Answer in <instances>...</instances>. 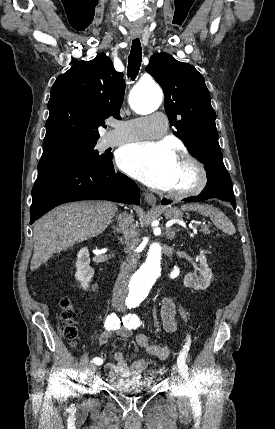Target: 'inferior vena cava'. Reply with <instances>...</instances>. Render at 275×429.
<instances>
[{
  "label": "inferior vena cava",
  "instance_id": "obj_1",
  "mask_svg": "<svg viewBox=\"0 0 275 429\" xmlns=\"http://www.w3.org/2000/svg\"><path fill=\"white\" fill-rule=\"evenodd\" d=\"M120 231L122 232L129 254L121 266L113 289V302L123 304L127 293L130 277L135 271L140 255L135 252L139 244V235L136 230L132 215L120 214L118 217Z\"/></svg>",
  "mask_w": 275,
  "mask_h": 429
}]
</instances>
